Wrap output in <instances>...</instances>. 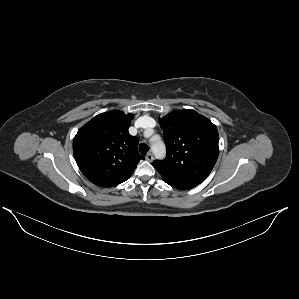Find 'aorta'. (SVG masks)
<instances>
[{
    "mask_svg": "<svg viewBox=\"0 0 299 299\" xmlns=\"http://www.w3.org/2000/svg\"><path fill=\"white\" fill-rule=\"evenodd\" d=\"M152 151L157 159H163L166 153L164 143L160 139L153 141Z\"/></svg>",
    "mask_w": 299,
    "mask_h": 299,
    "instance_id": "aorta-1",
    "label": "aorta"
}]
</instances>
